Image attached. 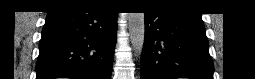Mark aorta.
I'll list each match as a JSON object with an SVG mask.
<instances>
[{
  "label": "aorta",
  "instance_id": "762f6f07",
  "mask_svg": "<svg viewBox=\"0 0 255 79\" xmlns=\"http://www.w3.org/2000/svg\"><path fill=\"white\" fill-rule=\"evenodd\" d=\"M129 34L135 55H140L145 40V16L144 13H128Z\"/></svg>",
  "mask_w": 255,
  "mask_h": 79
}]
</instances>
